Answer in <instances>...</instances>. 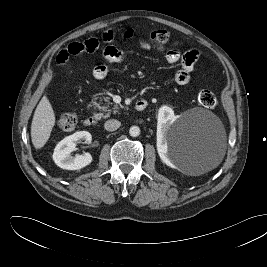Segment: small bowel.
Instances as JSON below:
<instances>
[{"label":"small bowel","instance_id":"obj_1","mask_svg":"<svg viewBox=\"0 0 267 267\" xmlns=\"http://www.w3.org/2000/svg\"><path fill=\"white\" fill-rule=\"evenodd\" d=\"M116 38V32L109 30L102 34V41L110 43ZM100 40L95 37L88 38L82 42H72L66 48L61 50L57 55V62L64 64L70 56L78 55L83 52H94L99 48ZM147 48V45H143ZM199 57L197 50H190L184 55L177 51H169L166 55L168 64H176L181 62V68L175 74V82L179 86L186 85L190 80V73L193 70L194 64ZM104 61L94 66L92 74L97 80L104 79L109 72V65L111 63H121L125 60V54L120 49L108 45L103 51Z\"/></svg>","mask_w":267,"mask_h":267}]
</instances>
